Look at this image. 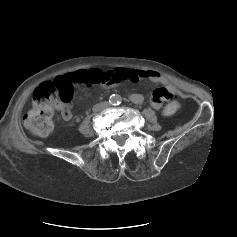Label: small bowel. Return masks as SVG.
Listing matches in <instances>:
<instances>
[{"label":"small bowel","instance_id":"obj_1","mask_svg":"<svg viewBox=\"0 0 237 237\" xmlns=\"http://www.w3.org/2000/svg\"><path fill=\"white\" fill-rule=\"evenodd\" d=\"M107 77V81L102 85L105 87H113L122 81H139L141 79H148L155 84H161L162 88H157L154 90L151 96V105L155 109H160L164 102H171L175 99L176 89L175 87L160 74L138 69H128V68H116L104 72ZM130 99L134 103H141L143 101V96L139 93H133ZM62 114L63 118L69 120L72 118V108L68 104L58 102L55 106Z\"/></svg>","mask_w":237,"mask_h":237}]
</instances>
